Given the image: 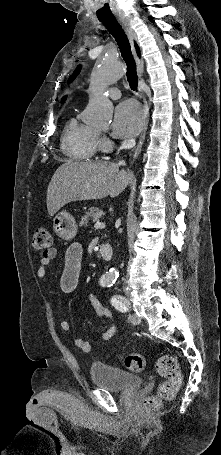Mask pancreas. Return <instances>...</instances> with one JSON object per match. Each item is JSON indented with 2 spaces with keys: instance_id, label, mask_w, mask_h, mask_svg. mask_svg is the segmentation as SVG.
<instances>
[{
  "instance_id": "obj_1",
  "label": "pancreas",
  "mask_w": 221,
  "mask_h": 455,
  "mask_svg": "<svg viewBox=\"0 0 221 455\" xmlns=\"http://www.w3.org/2000/svg\"><path fill=\"white\" fill-rule=\"evenodd\" d=\"M103 214V211L98 207H91L88 212L81 218L80 226L86 225L90 219L97 221L99 216Z\"/></svg>"
}]
</instances>
